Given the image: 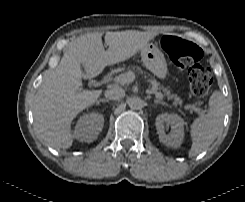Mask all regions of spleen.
<instances>
[{
	"mask_svg": "<svg viewBox=\"0 0 245 202\" xmlns=\"http://www.w3.org/2000/svg\"><path fill=\"white\" fill-rule=\"evenodd\" d=\"M225 115L224 97L214 91L209 99V110L205 116L197 118L191 125L192 146L189 157L207 149L220 134Z\"/></svg>",
	"mask_w": 245,
	"mask_h": 202,
	"instance_id": "1",
	"label": "spleen"
}]
</instances>
